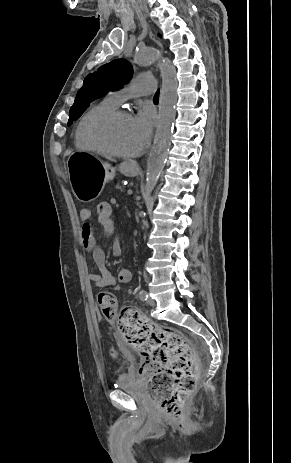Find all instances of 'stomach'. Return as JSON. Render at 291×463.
<instances>
[{
	"label": "stomach",
	"instance_id": "obj_1",
	"mask_svg": "<svg viewBox=\"0 0 291 463\" xmlns=\"http://www.w3.org/2000/svg\"><path fill=\"white\" fill-rule=\"evenodd\" d=\"M69 182L75 197L82 202L95 200L104 184L113 179L116 169L98 156L88 152H72L67 159ZM119 171L136 176L138 168L131 162L122 163Z\"/></svg>",
	"mask_w": 291,
	"mask_h": 463
}]
</instances>
